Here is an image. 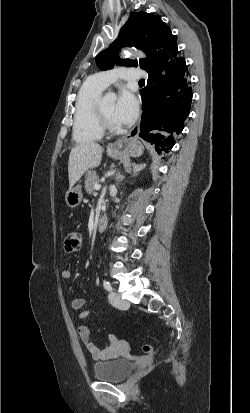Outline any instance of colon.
Wrapping results in <instances>:
<instances>
[{
	"instance_id": "obj_1",
	"label": "colon",
	"mask_w": 250,
	"mask_h": 413,
	"mask_svg": "<svg viewBox=\"0 0 250 413\" xmlns=\"http://www.w3.org/2000/svg\"><path fill=\"white\" fill-rule=\"evenodd\" d=\"M81 246H82L81 233L76 230H72L68 232L65 237V241H64L65 250L69 253H74V252H78L81 249ZM141 349L144 353L149 354L154 351L155 347L151 344H146V345H143Z\"/></svg>"
}]
</instances>
